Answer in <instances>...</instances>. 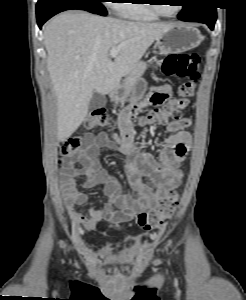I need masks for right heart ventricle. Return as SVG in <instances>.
<instances>
[{"label": "right heart ventricle", "instance_id": "e07e8e85", "mask_svg": "<svg viewBox=\"0 0 246 300\" xmlns=\"http://www.w3.org/2000/svg\"><path fill=\"white\" fill-rule=\"evenodd\" d=\"M116 12L127 19L139 22H154L159 16L152 10L148 0H127L113 5Z\"/></svg>", "mask_w": 246, "mask_h": 300}]
</instances>
